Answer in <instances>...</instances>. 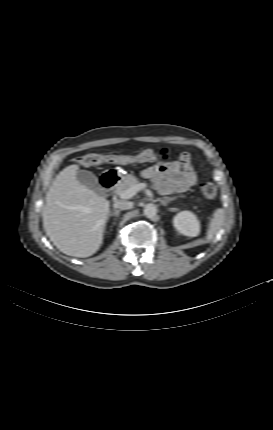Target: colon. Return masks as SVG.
Returning <instances> with one entry per match:
<instances>
[{
    "label": "colon",
    "instance_id": "5ec220e1",
    "mask_svg": "<svg viewBox=\"0 0 273 430\" xmlns=\"http://www.w3.org/2000/svg\"><path fill=\"white\" fill-rule=\"evenodd\" d=\"M155 159L156 153L151 149H147L134 155L90 153L78 158L77 162L82 166L90 167L102 164H133L151 162ZM200 190L207 199H214L217 195V187L212 182L202 183Z\"/></svg>",
    "mask_w": 273,
    "mask_h": 430
}]
</instances>
